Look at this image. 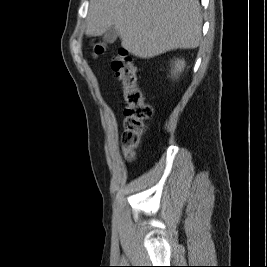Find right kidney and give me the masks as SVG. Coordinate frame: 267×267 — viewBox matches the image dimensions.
Listing matches in <instances>:
<instances>
[{
    "label": "right kidney",
    "mask_w": 267,
    "mask_h": 267,
    "mask_svg": "<svg viewBox=\"0 0 267 267\" xmlns=\"http://www.w3.org/2000/svg\"><path fill=\"white\" fill-rule=\"evenodd\" d=\"M185 65L186 64L183 59H175V61L172 62L171 76L177 78L178 75L184 70Z\"/></svg>",
    "instance_id": "right-kidney-1"
}]
</instances>
